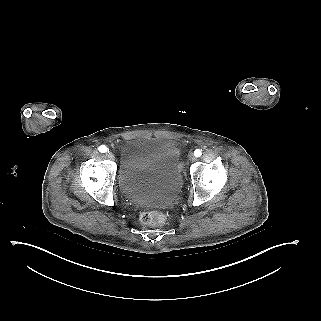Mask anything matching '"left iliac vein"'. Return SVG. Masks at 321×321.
Instances as JSON below:
<instances>
[{"mask_svg": "<svg viewBox=\"0 0 321 321\" xmlns=\"http://www.w3.org/2000/svg\"><path fill=\"white\" fill-rule=\"evenodd\" d=\"M189 160H190L191 162H194V161L196 160V157H195V155H194L193 153H190V154H189Z\"/></svg>", "mask_w": 321, "mask_h": 321, "instance_id": "4c4485c4", "label": "left iliac vein"}]
</instances>
